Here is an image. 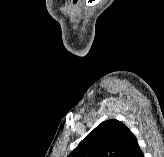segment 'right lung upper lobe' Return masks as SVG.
I'll use <instances>...</instances> for the list:
<instances>
[{
    "label": "right lung upper lobe",
    "mask_w": 164,
    "mask_h": 157,
    "mask_svg": "<svg viewBox=\"0 0 164 157\" xmlns=\"http://www.w3.org/2000/svg\"><path fill=\"white\" fill-rule=\"evenodd\" d=\"M136 141L129 128L111 119L91 131L68 157H125Z\"/></svg>",
    "instance_id": "right-lung-upper-lobe-1"
}]
</instances>
